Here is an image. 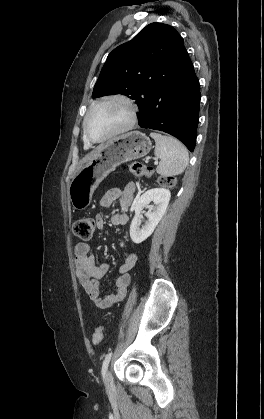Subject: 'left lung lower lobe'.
I'll list each match as a JSON object with an SVG mask.
<instances>
[{
	"label": "left lung lower lobe",
	"instance_id": "1",
	"mask_svg": "<svg viewBox=\"0 0 264 419\" xmlns=\"http://www.w3.org/2000/svg\"><path fill=\"white\" fill-rule=\"evenodd\" d=\"M172 68L167 77L151 85L139 109V125L171 134L192 152L199 118L200 86L183 42Z\"/></svg>",
	"mask_w": 264,
	"mask_h": 419
}]
</instances>
